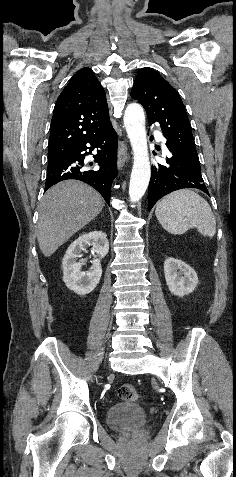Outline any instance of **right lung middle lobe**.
Listing matches in <instances>:
<instances>
[{"instance_id": "obj_1", "label": "right lung middle lobe", "mask_w": 236, "mask_h": 477, "mask_svg": "<svg viewBox=\"0 0 236 477\" xmlns=\"http://www.w3.org/2000/svg\"><path fill=\"white\" fill-rule=\"evenodd\" d=\"M60 159H62V157H60V156H51V157H49V162H54V161H57V160H60Z\"/></svg>"}]
</instances>
